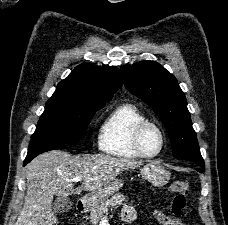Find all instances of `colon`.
<instances>
[{"instance_id": "colon-1", "label": "colon", "mask_w": 228, "mask_h": 225, "mask_svg": "<svg viewBox=\"0 0 228 225\" xmlns=\"http://www.w3.org/2000/svg\"><path fill=\"white\" fill-rule=\"evenodd\" d=\"M188 182L186 180L177 179L171 183L170 192L173 195L170 204V214H179L184 212L186 198L188 196Z\"/></svg>"}]
</instances>
